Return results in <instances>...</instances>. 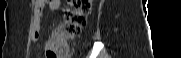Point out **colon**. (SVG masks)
Listing matches in <instances>:
<instances>
[{"label": "colon", "instance_id": "colon-1", "mask_svg": "<svg viewBox=\"0 0 181 58\" xmlns=\"http://www.w3.org/2000/svg\"><path fill=\"white\" fill-rule=\"evenodd\" d=\"M91 6V0H68L62 27L47 41V58L67 57V41L80 34Z\"/></svg>", "mask_w": 181, "mask_h": 58}]
</instances>
